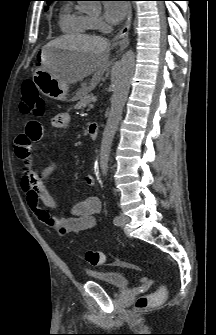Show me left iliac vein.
Segmentation results:
<instances>
[{
    "label": "left iliac vein",
    "instance_id": "left-iliac-vein-1",
    "mask_svg": "<svg viewBox=\"0 0 216 335\" xmlns=\"http://www.w3.org/2000/svg\"><path fill=\"white\" fill-rule=\"evenodd\" d=\"M119 217H120V221L116 225L120 227H124L128 223L129 218L122 213L119 215Z\"/></svg>",
    "mask_w": 216,
    "mask_h": 335
}]
</instances>
